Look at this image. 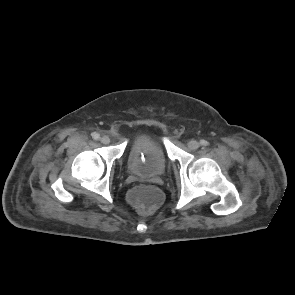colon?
<instances>
[{
  "instance_id": "1",
  "label": "colon",
  "mask_w": 295,
  "mask_h": 295,
  "mask_svg": "<svg viewBox=\"0 0 295 295\" xmlns=\"http://www.w3.org/2000/svg\"><path fill=\"white\" fill-rule=\"evenodd\" d=\"M128 199L139 210L149 212L160 203L161 193L154 186L141 184L129 192Z\"/></svg>"
}]
</instances>
